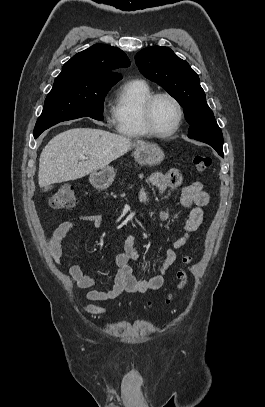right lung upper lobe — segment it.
<instances>
[{"label": "right lung upper lobe", "mask_w": 265, "mask_h": 407, "mask_svg": "<svg viewBox=\"0 0 265 407\" xmlns=\"http://www.w3.org/2000/svg\"><path fill=\"white\" fill-rule=\"evenodd\" d=\"M129 65L130 61L122 50L95 44L67 61L58 77H69L78 82L116 83L122 76L111 71Z\"/></svg>", "instance_id": "1"}]
</instances>
